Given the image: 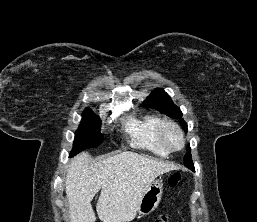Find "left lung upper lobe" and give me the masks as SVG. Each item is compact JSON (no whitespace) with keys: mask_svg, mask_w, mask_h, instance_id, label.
I'll list each match as a JSON object with an SVG mask.
<instances>
[{"mask_svg":"<svg viewBox=\"0 0 257 222\" xmlns=\"http://www.w3.org/2000/svg\"><path fill=\"white\" fill-rule=\"evenodd\" d=\"M144 105L149 108H154L160 112L168 115L171 118H181L182 112L171 100L170 96L163 89H155L152 91L150 96L144 101ZM180 124L182 125L185 132H187V123L181 119ZM191 148L188 145L187 154L184 157V165L190 169H194L191 156Z\"/></svg>","mask_w":257,"mask_h":222,"instance_id":"left-lung-upper-lobe-1","label":"left lung upper lobe"}]
</instances>
